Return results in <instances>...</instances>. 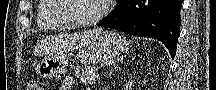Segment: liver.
Masks as SVG:
<instances>
[{
	"label": "liver",
	"instance_id": "1",
	"mask_svg": "<svg viewBox=\"0 0 216 90\" xmlns=\"http://www.w3.org/2000/svg\"><path fill=\"white\" fill-rule=\"evenodd\" d=\"M101 30L102 28H99V30H90V32H82V34H77V36H71L68 42L72 46H77L76 42L82 46V44H87V40H91L94 34H101Z\"/></svg>",
	"mask_w": 216,
	"mask_h": 90
}]
</instances>
